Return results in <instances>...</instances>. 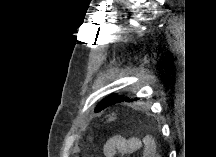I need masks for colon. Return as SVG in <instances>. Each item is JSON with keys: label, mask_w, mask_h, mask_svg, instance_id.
I'll list each match as a JSON object with an SVG mask.
<instances>
[{"label": "colon", "mask_w": 216, "mask_h": 157, "mask_svg": "<svg viewBox=\"0 0 216 157\" xmlns=\"http://www.w3.org/2000/svg\"><path fill=\"white\" fill-rule=\"evenodd\" d=\"M115 114H111V115H109L108 117H107V119H106V121H112V120H114L115 119Z\"/></svg>", "instance_id": "obj_1"}]
</instances>
